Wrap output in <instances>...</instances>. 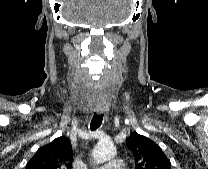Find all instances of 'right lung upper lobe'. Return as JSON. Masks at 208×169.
<instances>
[{
    "label": "right lung upper lobe",
    "mask_w": 208,
    "mask_h": 169,
    "mask_svg": "<svg viewBox=\"0 0 208 169\" xmlns=\"http://www.w3.org/2000/svg\"><path fill=\"white\" fill-rule=\"evenodd\" d=\"M72 161L70 140L61 136L39 148L25 169H70Z\"/></svg>",
    "instance_id": "obj_1"
}]
</instances>
